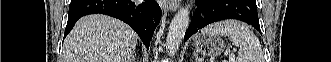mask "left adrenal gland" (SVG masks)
<instances>
[{"label": "left adrenal gland", "instance_id": "obj_1", "mask_svg": "<svg viewBox=\"0 0 331 62\" xmlns=\"http://www.w3.org/2000/svg\"><path fill=\"white\" fill-rule=\"evenodd\" d=\"M194 55L196 56V62H198L199 61L198 56L196 54H194Z\"/></svg>", "mask_w": 331, "mask_h": 62}]
</instances>
